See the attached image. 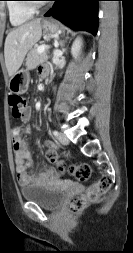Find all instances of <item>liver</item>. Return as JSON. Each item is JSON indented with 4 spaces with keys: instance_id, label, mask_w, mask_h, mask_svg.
Masks as SVG:
<instances>
[{
    "instance_id": "6515ba94",
    "label": "liver",
    "mask_w": 133,
    "mask_h": 253,
    "mask_svg": "<svg viewBox=\"0 0 133 253\" xmlns=\"http://www.w3.org/2000/svg\"><path fill=\"white\" fill-rule=\"evenodd\" d=\"M41 36V19L30 21L10 31L4 45L5 65L10 77L18 71L27 52Z\"/></svg>"
}]
</instances>
